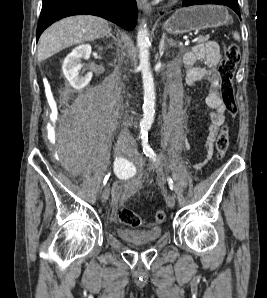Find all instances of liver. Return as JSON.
<instances>
[{
    "instance_id": "1",
    "label": "liver",
    "mask_w": 267,
    "mask_h": 298,
    "mask_svg": "<svg viewBox=\"0 0 267 298\" xmlns=\"http://www.w3.org/2000/svg\"><path fill=\"white\" fill-rule=\"evenodd\" d=\"M110 31L108 22L100 17L78 15L62 19L42 33L38 42V61L72 45L102 38Z\"/></svg>"
}]
</instances>
